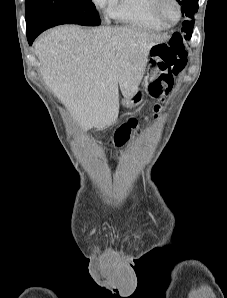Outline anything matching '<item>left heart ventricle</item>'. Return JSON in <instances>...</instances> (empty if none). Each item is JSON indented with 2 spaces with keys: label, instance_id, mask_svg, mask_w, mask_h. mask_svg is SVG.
I'll return each instance as SVG.
<instances>
[{
  "label": "left heart ventricle",
  "instance_id": "b2bd125f",
  "mask_svg": "<svg viewBox=\"0 0 227 298\" xmlns=\"http://www.w3.org/2000/svg\"><path fill=\"white\" fill-rule=\"evenodd\" d=\"M162 12L164 16L169 19L170 21H173L177 17V8L173 2L170 0H166L162 4Z\"/></svg>",
  "mask_w": 227,
  "mask_h": 298
}]
</instances>
